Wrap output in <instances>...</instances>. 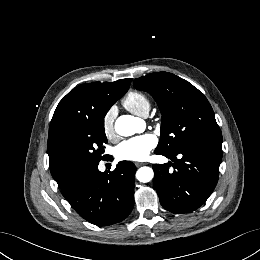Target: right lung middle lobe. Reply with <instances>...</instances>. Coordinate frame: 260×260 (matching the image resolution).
I'll use <instances>...</instances> for the list:
<instances>
[{
  "label": "right lung middle lobe",
  "mask_w": 260,
  "mask_h": 260,
  "mask_svg": "<svg viewBox=\"0 0 260 260\" xmlns=\"http://www.w3.org/2000/svg\"><path fill=\"white\" fill-rule=\"evenodd\" d=\"M121 97L100 100L96 109L97 115L82 120L76 127L67 146V158L74 172L97 165L104 158L101 156L103 145L107 143L104 117Z\"/></svg>",
  "instance_id": "obj_1"
}]
</instances>
